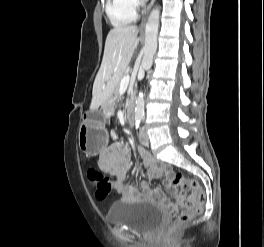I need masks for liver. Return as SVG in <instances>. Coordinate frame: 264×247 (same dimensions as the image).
Instances as JSON below:
<instances>
[{
  "mask_svg": "<svg viewBox=\"0 0 264 247\" xmlns=\"http://www.w3.org/2000/svg\"><path fill=\"white\" fill-rule=\"evenodd\" d=\"M136 26H122L110 30L105 42L101 67L93 84L91 110L102 106L123 77L139 38Z\"/></svg>",
  "mask_w": 264,
  "mask_h": 247,
  "instance_id": "obj_1",
  "label": "liver"
}]
</instances>
